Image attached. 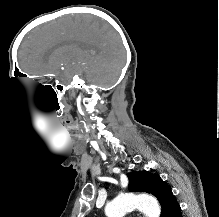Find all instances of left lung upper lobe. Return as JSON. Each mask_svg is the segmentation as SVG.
I'll return each instance as SVG.
<instances>
[{
	"mask_svg": "<svg viewBox=\"0 0 219 217\" xmlns=\"http://www.w3.org/2000/svg\"><path fill=\"white\" fill-rule=\"evenodd\" d=\"M127 177L129 179V191L146 192L157 197L162 208L160 217H166L173 202L177 201L170 186L158 175L145 170L131 172L127 174Z\"/></svg>",
	"mask_w": 219,
	"mask_h": 217,
	"instance_id": "obj_1",
	"label": "left lung upper lobe"
}]
</instances>
